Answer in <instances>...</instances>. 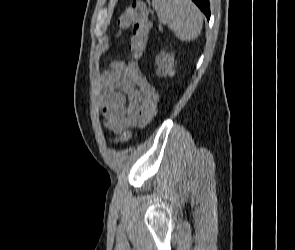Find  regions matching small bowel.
<instances>
[{"label": "small bowel", "instance_id": "c3829d8e", "mask_svg": "<svg viewBox=\"0 0 295 250\" xmlns=\"http://www.w3.org/2000/svg\"><path fill=\"white\" fill-rule=\"evenodd\" d=\"M125 62L115 61L103 75L100 109L104 126L114 132L118 141L131 138L130 129L140 123L143 114L142 93L125 78Z\"/></svg>", "mask_w": 295, "mask_h": 250}]
</instances>
